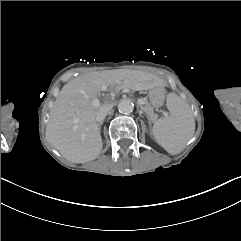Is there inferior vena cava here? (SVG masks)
I'll return each instance as SVG.
<instances>
[{"instance_id":"inferior-vena-cava-1","label":"inferior vena cava","mask_w":241,"mask_h":241,"mask_svg":"<svg viewBox=\"0 0 241 241\" xmlns=\"http://www.w3.org/2000/svg\"><path fill=\"white\" fill-rule=\"evenodd\" d=\"M110 109L111 108H107L106 110L99 111L96 115V121L98 123H103V121H104L105 117L107 116Z\"/></svg>"}]
</instances>
